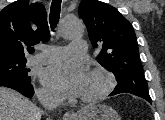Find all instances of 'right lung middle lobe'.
Here are the masks:
<instances>
[{
	"label": "right lung middle lobe",
	"instance_id": "right-lung-middle-lobe-1",
	"mask_svg": "<svg viewBox=\"0 0 165 120\" xmlns=\"http://www.w3.org/2000/svg\"><path fill=\"white\" fill-rule=\"evenodd\" d=\"M26 58L0 60V79H14L30 83V69L25 68Z\"/></svg>",
	"mask_w": 165,
	"mask_h": 120
}]
</instances>
